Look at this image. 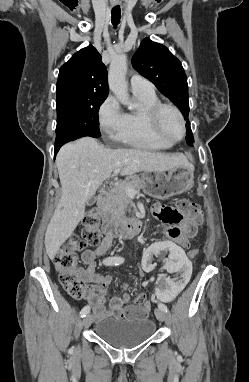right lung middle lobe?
I'll return each instance as SVG.
<instances>
[{
  "mask_svg": "<svg viewBox=\"0 0 249 382\" xmlns=\"http://www.w3.org/2000/svg\"><path fill=\"white\" fill-rule=\"evenodd\" d=\"M106 98L68 104L57 109L55 145L84 136L100 137L98 109Z\"/></svg>",
  "mask_w": 249,
  "mask_h": 382,
  "instance_id": "dd1d6c3e",
  "label": "right lung middle lobe"
}]
</instances>
